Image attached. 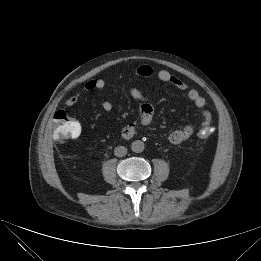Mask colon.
Returning <instances> with one entry per match:
<instances>
[{
	"mask_svg": "<svg viewBox=\"0 0 261 261\" xmlns=\"http://www.w3.org/2000/svg\"><path fill=\"white\" fill-rule=\"evenodd\" d=\"M214 133V127L210 124L201 126L198 132V138L201 140L207 139ZM80 127L78 121L68 115L64 111H58L53 119V138L56 142L62 143L66 140L78 137Z\"/></svg>",
	"mask_w": 261,
	"mask_h": 261,
	"instance_id": "5ec220e1",
	"label": "colon"
}]
</instances>
